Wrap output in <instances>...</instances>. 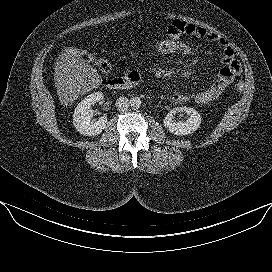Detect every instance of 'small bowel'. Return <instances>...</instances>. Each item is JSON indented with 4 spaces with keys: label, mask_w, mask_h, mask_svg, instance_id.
I'll return each mask as SVG.
<instances>
[{
    "label": "small bowel",
    "mask_w": 272,
    "mask_h": 272,
    "mask_svg": "<svg viewBox=\"0 0 272 272\" xmlns=\"http://www.w3.org/2000/svg\"><path fill=\"white\" fill-rule=\"evenodd\" d=\"M192 36L205 39L220 46L222 50L223 67L219 71L216 80L206 89L197 92L192 99L199 105H205L218 99L224 90L241 73V64L235 56V52L230 44L221 36L209 31L201 26L186 23L181 20H174L167 29V36L174 39L183 40V36ZM187 43V42H186ZM190 53L193 51L192 45L187 43ZM169 98L175 103H186L191 97L176 91L169 94Z\"/></svg>",
    "instance_id": "obj_1"
}]
</instances>
